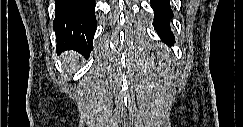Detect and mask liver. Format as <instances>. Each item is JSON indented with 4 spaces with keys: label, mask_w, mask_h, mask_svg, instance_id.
Wrapping results in <instances>:
<instances>
[{
    "label": "liver",
    "mask_w": 243,
    "mask_h": 127,
    "mask_svg": "<svg viewBox=\"0 0 243 127\" xmlns=\"http://www.w3.org/2000/svg\"><path fill=\"white\" fill-rule=\"evenodd\" d=\"M76 54L75 53H71V52H67V53H65L64 54V61L67 63V64H69V66L71 67V68H73L74 67V65H75V61H76Z\"/></svg>",
    "instance_id": "6515ba94"
}]
</instances>
